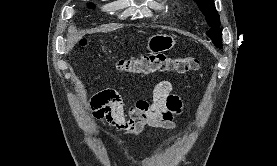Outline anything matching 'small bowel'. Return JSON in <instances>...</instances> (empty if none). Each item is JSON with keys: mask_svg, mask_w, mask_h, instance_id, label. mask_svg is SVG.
I'll list each match as a JSON object with an SVG mask.
<instances>
[{"mask_svg": "<svg viewBox=\"0 0 277 166\" xmlns=\"http://www.w3.org/2000/svg\"><path fill=\"white\" fill-rule=\"evenodd\" d=\"M172 91L171 82H159L151 97L138 100L130 108L128 118L124 115L122 99L114 89H104L95 94L90 107L96 119L106 120L127 136L137 138L145 127L175 128V115L180 112L182 103Z\"/></svg>", "mask_w": 277, "mask_h": 166, "instance_id": "1", "label": "small bowel"}]
</instances>
